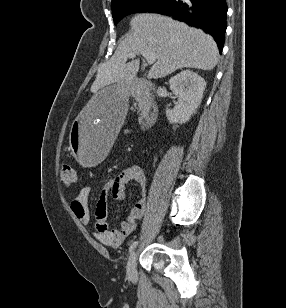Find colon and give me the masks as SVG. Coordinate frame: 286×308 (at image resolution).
I'll list each match as a JSON object with an SVG mask.
<instances>
[{
    "label": "colon",
    "instance_id": "5ec220e1",
    "mask_svg": "<svg viewBox=\"0 0 286 308\" xmlns=\"http://www.w3.org/2000/svg\"><path fill=\"white\" fill-rule=\"evenodd\" d=\"M60 181L67 186L75 185L78 182L76 170L72 166L63 165L60 170Z\"/></svg>",
    "mask_w": 286,
    "mask_h": 308
}]
</instances>
